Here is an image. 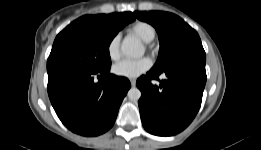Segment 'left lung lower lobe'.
Returning <instances> with one entry per match:
<instances>
[{
  "label": "left lung lower lobe",
  "instance_id": "obj_1",
  "mask_svg": "<svg viewBox=\"0 0 261 150\" xmlns=\"http://www.w3.org/2000/svg\"><path fill=\"white\" fill-rule=\"evenodd\" d=\"M205 63L202 45L192 46L137 80L136 85L141 90L140 116L146 131L157 136H171L192 122L200 108L206 83ZM161 74L167 79L159 80ZM152 80H159L160 84H153Z\"/></svg>",
  "mask_w": 261,
  "mask_h": 150
}]
</instances>
